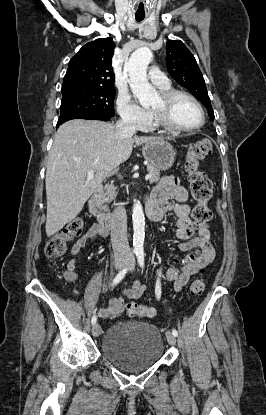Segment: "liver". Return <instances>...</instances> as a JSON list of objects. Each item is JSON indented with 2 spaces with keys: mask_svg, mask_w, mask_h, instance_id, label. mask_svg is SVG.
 <instances>
[{
  "mask_svg": "<svg viewBox=\"0 0 266 415\" xmlns=\"http://www.w3.org/2000/svg\"><path fill=\"white\" fill-rule=\"evenodd\" d=\"M158 140L164 139L127 136L118 140L115 125L103 121L74 119L62 124L47 161V236L78 216L108 173L129 159L134 143ZM91 170L94 175L88 180Z\"/></svg>",
  "mask_w": 266,
  "mask_h": 415,
  "instance_id": "liver-1",
  "label": "liver"
}]
</instances>
